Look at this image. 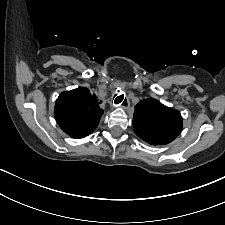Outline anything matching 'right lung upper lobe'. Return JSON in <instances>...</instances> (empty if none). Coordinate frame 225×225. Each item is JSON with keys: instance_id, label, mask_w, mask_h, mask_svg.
<instances>
[{"instance_id": "right-lung-upper-lobe-1", "label": "right lung upper lobe", "mask_w": 225, "mask_h": 225, "mask_svg": "<svg viewBox=\"0 0 225 225\" xmlns=\"http://www.w3.org/2000/svg\"><path fill=\"white\" fill-rule=\"evenodd\" d=\"M97 97L79 87L62 92L56 100L55 119L60 128L73 138L88 136L98 126L103 110Z\"/></svg>"}]
</instances>
